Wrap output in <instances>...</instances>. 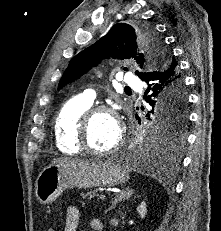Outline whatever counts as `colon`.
<instances>
[{
    "label": "colon",
    "instance_id": "5ec220e1",
    "mask_svg": "<svg viewBox=\"0 0 221 231\" xmlns=\"http://www.w3.org/2000/svg\"><path fill=\"white\" fill-rule=\"evenodd\" d=\"M46 231H55L53 227H49Z\"/></svg>",
    "mask_w": 221,
    "mask_h": 231
}]
</instances>
